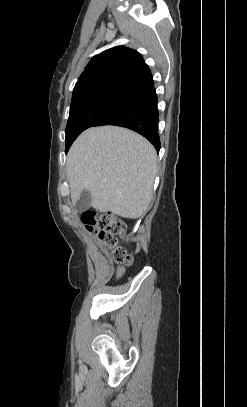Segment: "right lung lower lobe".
Wrapping results in <instances>:
<instances>
[{
    "label": "right lung lower lobe",
    "instance_id": "right-lung-lower-lobe-1",
    "mask_svg": "<svg viewBox=\"0 0 247 407\" xmlns=\"http://www.w3.org/2000/svg\"><path fill=\"white\" fill-rule=\"evenodd\" d=\"M157 95L153 84L103 115L93 126L116 125L129 128L147 138L159 152Z\"/></svg>",
    "mask_w": 247,
    "mask_h": 407
}]
</instances>
